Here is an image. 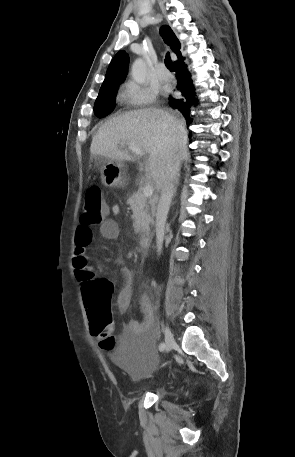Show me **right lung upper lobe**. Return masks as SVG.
<instances>
[{
	"label": "right lung upper lobe",
	"mask_w": 295,
	"mask_h": 457,
	"mask_svg": "<svg viewBox=\"0 0 295 457\" xmlns=\"http://www.w3.org/2000/svg\"><path fill=\"white\" fill-rule=\"evenodd\" d=\"M160 34L163 37L167 45L170 46L171 50L178 56L180 52V43L169 26H162L160 28ZM129 65V56L124 51H119L113 60L111 61L105 80L100 90L112 89L118 87L126 78Z\"/></svg>",
	"instance_id": "obj_1"
}]
</instances>
